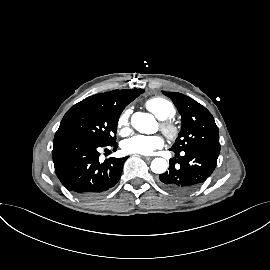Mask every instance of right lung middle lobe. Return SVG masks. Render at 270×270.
<instances>
[{"mask_svg":"<svg viewBox=\"0 0 270 270\" xmlns=\"http://www.w3.org/2000/svg\"><path fill=\"white\" fill-rule=\"evenodd\" d=\"M120 114L113 107L87 97L66 112L55 137L77 136L102 146L112 145Z\"/></svg>","mask_w":270,"mask_h":270,"instance_id":"dd1d6c3e","label":"right lung middle lobe"}]
</instances>
